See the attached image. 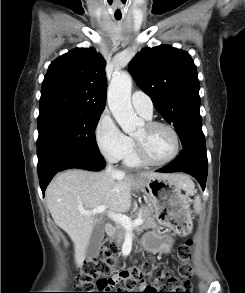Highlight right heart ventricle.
Listing matches in <instances>:
<instances>
[{
    "label": "right heart ventricle",
    "mask_w": 245,
    "mask_h": 293,
    "mask_svg": "<svg viewBox=\"0 0 245 293\" xmlns=\"http://www.w3.org/2000/svg\"><path fill=\"white\" fill-rule=\"evenodd\" d=\"M124 163L128 167H139L143 163L139 160V158L136 155L135 150L132 148L131 151L124 157Z\"/></svg>",
    "instance_id": "obj_1"
}]
</instances>
